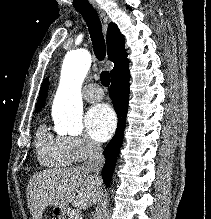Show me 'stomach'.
I'll return each mask as SVG.
<instances>
[{
  "label": "stomach",
  "instance_id": "1",
  "mask_svg": "<svg viewBox=\"0 0 211 219\" xmlns=\"http://www.w3.org/2000/svg\"><path fill=\"white\" fill-rule=\"evenodd\" d=\"M54 212H55V214H57L59 217H60V219L64 216V214H65V209H62V208H59V207H55L54 208Z\"/></svg>",
  "mask_w": 211,
  "mask_h": 219
}]
</instances>
